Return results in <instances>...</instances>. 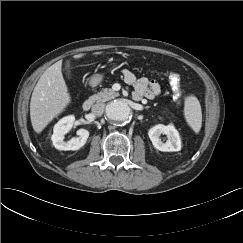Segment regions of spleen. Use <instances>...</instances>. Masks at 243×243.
<instances>
[{
	"instance_id": "1",
	"label": "spleen",
	"mask_w": 243,
	"mask_h": 243,
	"mask_svg": "<svg viewBox=\"0 0 243 243\" xmlns=\"http://www.w3.org/2000/svg\"><path fill=\"white\" fill-rule=\"evenodd\" d=\"M184 117L187 124L195 133H199L202 126V111L199 100L189 95L184 101Z\"/></svg>"
}]
</instances>
